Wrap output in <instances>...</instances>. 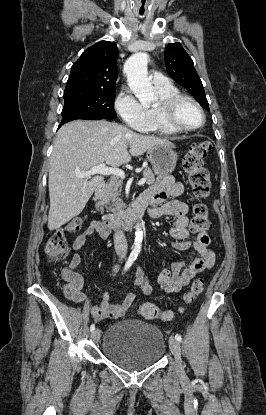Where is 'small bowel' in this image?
I'll list each match as a JSON object with an SVG mask.
<instances>
[{"label":"small bowel","mask_w":266,"mask_h":415,"mask_svg":"<svg viewBox=\"0 0 266 415\" xmlns=\"http://www.w3.org/2000/svg\"><path fill=\"white\" fill-rule=\"evenodd\" d=\"M183 194L184 185L181 182L175 181L172 176H163L138 198L139 201L146 204L151 217L159 218L166 215L174 217L175 220L169 233L175 239L173 247L176 250L185 251L192 248L199 254L188 264L184 260L175 261L170 268L161 271L158 282L167 293L180 292L198 273L211 269L215 263V255L210 249V238L207 232L199 234L194 240H187L189 236L188 205L177 199L166 201L169 196L180 197ZM94 234L106 239L109 230L100 221H92L75 239L72 247L76 253L72 256L68 267L63 270L62 274L63 277L66 274H70L72 277L76 289L72 300L76 303L85 304L96 321L119 319L135 305L137 293L129 292L121 302L113 303L109 295L102 292L100 305H93L88 296L81 291L83 285L81 275L74 271L83 259L78 251L84 248L87 239ZM119 268L120 266H115L113 273L116 274ZM134 285L138 287L143 295H149L152 292L150 282L140 268L137 269Z\"/></svg>","instance_id":"c3829d8e"}]
</instances>
